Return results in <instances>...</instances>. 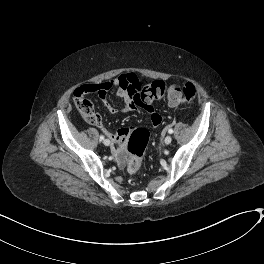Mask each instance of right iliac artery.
<instances>
[{
  "label": "right iliac artery",
  "instance_id": "obj_1",
  "mask_svg": "<svg viewBox=\"0 0 264 264\" xmlns=\"http://www.w3.org/2000/svg\"><path fill=\"white\" fill-rule=\"evenodd\" d=\"M100 140H104V136L103 135H100Z\"/></svg>",
  "mask_w": 264,
  "mask_h": 264
}]
</instances>
